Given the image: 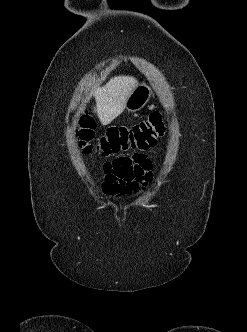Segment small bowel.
Segmentation results:
<instances>
[{
    "mask_svg": "<svg viewBox=\"0 0 247 332\" xmlns=\"http://www.w3.org/2000/svg\"><path fill=\"white\" fill-rule=\"evenodd\" d=\"M152 169V160L144 153L116 158L103 166L102 190L110 197L130 196L152 181Z\"/></svg>",
    "mask_w": 247,
    "mask_h": 332,
    "instance_id": "small-bowel-1",
    "label": "small bowel"
}]
</instances>
